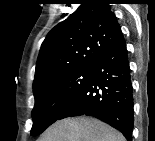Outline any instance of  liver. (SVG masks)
Instances as JSON below:
<instances>
[{"label":"liver","instance_id":"liver-1","mask_svg":"<svg viewBox=\"0 0 155 141\" xmlns=\"http://www.w3.org/2000/svg\"><path fill=\"white\" fill-rule=\"evenodd\" d=\"M40 141H125L123 135L92 117H73L50 126Z\"/></svg>","mask_w":155,"mask_h":141}]
</instances>
